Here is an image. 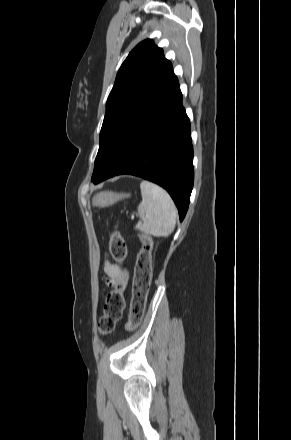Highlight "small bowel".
<instances>
[{
	"mask_svg": "<svg viewBox=\"0 0 291 440\" xmlns=\"http://www.w3.org/2000/svg\"><path fill=\"white\" fill-rule=\"evenodd\" d=\"M103 270L107 276L120 277V272H119V268L117 267V265L111 263L108 260H105Z\"/></svg>",
	"mask_w": 291,
	"mask_h": 440,
	"instance_id": "small-bowel-1",
	"label": "small bowel"
}]
</instances>
